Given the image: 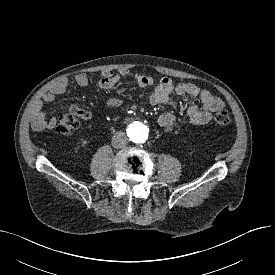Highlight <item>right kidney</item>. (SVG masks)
Instances as JSON below:
<instances>
[{
    "mask_svg": "<svg viewBox=\"0 0 275 275\" xmlns=\"http://www.w3.org/2000/svg\"><path fill=\"white\" fill-rule=\"evenodd\" d=\"M81 143H82L83 146H85V145H87V144L89 143V141H87V140H82Z\"/></svg>",
    "mask_w": 275,
    "mask_h": 275,
    "instance_id": "obj_1",
    "label": "right kidney"
}]
</instances>
